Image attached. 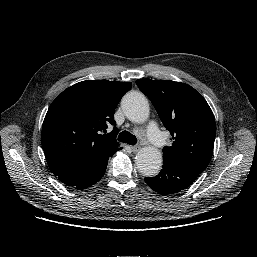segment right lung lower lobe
<instances>
[{
	"label": "right lung lower lobe",
	"mask_w": 257,
	"mask_h": 257,
	"mask_svg": "<svg viewBox=\"0 0 257 257\" xmlns=\"http://www.w3.org/2000/svg\"><path fill=\"white\" fill-rule=\"evenodd\" d=\"M107 167V161L94 173L80 181L78 184L74 185L78 189H85L87 187L92 186L93 184L97 183L100 178L104 175L105 170Z\"/></svg>",
	"instance_id": "obj_1"
}]
</instances>
